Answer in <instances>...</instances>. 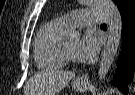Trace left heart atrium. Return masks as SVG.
<instances>
[{"label":"left heart atrium","instance_id":"1","mask_svg":"<svg viewBox=\"0 0 135 95\" xmlns=\"http://www.w3.org/2000/svg\"><path fill=\"white\" fill-rule=\"evenodd\" d=\"M99 39L93 32H86L78 42L76 57L81 61H91L98 53Z\"/></svg>","mask_w":135,"mask_h":95}]
</instances>
